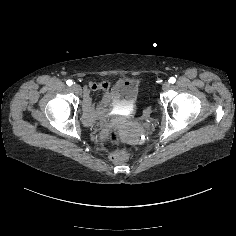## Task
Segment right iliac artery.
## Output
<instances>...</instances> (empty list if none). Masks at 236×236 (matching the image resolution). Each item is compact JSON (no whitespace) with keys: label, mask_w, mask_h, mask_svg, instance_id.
Instances as JSON below:
<instances>
[{"label":"right iliac artery","mask_w":236,"mask_h":236,"mask_svg":"<svg viewBox=\"0 0 236 236\" xmlns=\"http://www.w3.org/2000/svg\"><path fill=\"white\" fill-rule=\"evenodd\" d=\"M66 83L68 86H71L73 84L72 80H67Z\"/></svg>","instance_id":"1"}]
</instances>
